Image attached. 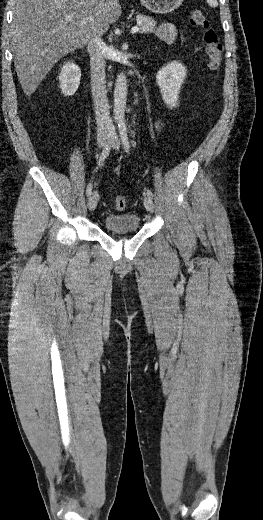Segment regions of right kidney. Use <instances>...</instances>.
<instances>
[{"mask_svg":"<svg viewBox=\"0 0 263 520\" xmlns=\"http://www.w3.org/2000/svg\"><path fill=\"white\" fill-rule=\"evenodd\" d=\"M58 78L62 94L72 96L79 87L81 70L73 62H67L61 68Z\"/></svg>","mask_w":263,"mask_h":520,"instance_id":"1","label":"right kidney"}]
</instances>
